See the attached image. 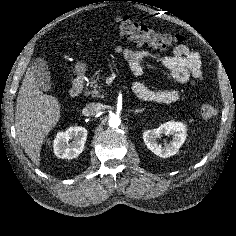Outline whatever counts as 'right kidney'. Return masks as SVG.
Listing matches in <instances>:
<instances>
[{
  "label": "right kidney",
  "mask_w": 236,
  "mask_h": 236,
  "mask_svg": "<svg viewBox=\"0 0 236 236\" xmlns=\"http://www.w3.org/2000/svg\"><path fill=\"white\" fill-rule=\"evenodd\" d=\"M87 138V129L81 126L70 127L59 132L54 141L53 149L58 158L73 159L82 153Z\"/></svg>",
  "instance_id": "ca27d5eb"
}]
</instances>
